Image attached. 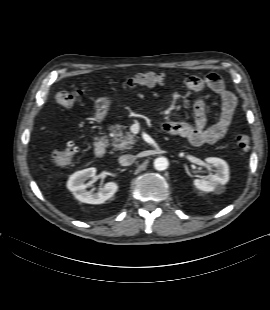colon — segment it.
I'll use <instances>...</instances> for the list:
<instances>
[{
    "label": "colon",
    "instance_id": "colon-1",
    "mask_svg": "<svg viewBox=\"0 0 270 310\" xmlns=\"http://www.w3.org/2000/svg\"><path fill=\"white\" fill-rule=\"evenodd\" d=\"M168 79L165 73H140L134 77L128 78L123 82L124 87L132 88L137 86H153L164 84ZM82 97L81 91H60L56 94L55 100L58 105L63 108H72ZM251 138L247 134H239L236 136L237 146L246 151L249 149ZM79 152V148L74 141H68L66 145L57 149L52 153V159L57 165H67L72 162Z\"/></svg>",
    "mask_w": 270,
    "mask_h": 310
}]
</instances>
